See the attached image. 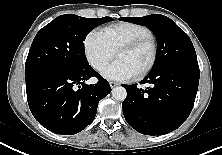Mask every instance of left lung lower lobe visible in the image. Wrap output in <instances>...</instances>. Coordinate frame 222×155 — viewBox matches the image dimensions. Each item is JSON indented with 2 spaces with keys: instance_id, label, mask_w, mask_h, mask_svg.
<instances>
[{
  "instance_id": "left-lung-lower-lobe-1",
  "label": "left lung lower lobe",
  "mask_w": 222,
  "mask_h": 155,
  "mask_svg": "<svg viewBox=\"0 0 222 155\" xmlns=\"http://www.w3.org/2000/svg\"><path fill=\"white\" fill-rule=\"evenodd\" d=\"M197 68L177 65L151 71L140 83L123 85L127 123L141 134L163 135L181 126L192 111L199 84Z\"/></svg>"
}]
</instances>
